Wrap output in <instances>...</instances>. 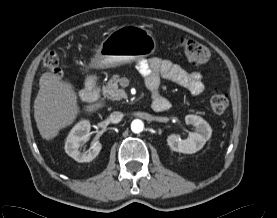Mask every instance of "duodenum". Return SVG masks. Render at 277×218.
Wrapping results in <instances>:
<instances>
[{
	"mask_svg": "<svg viewBox=\"0 0 277 218\" xmlns=\"http://www.w3.org/2000/svg\"><path fill=\"white\" fill-rule=\"evenodd\" d=\"M99 81L95 76H88L85 87L80 91L79 96L84 102H92L99 94ZM159 110L166 111L170 107V103L166 99H159Z\"/></svg>",
	"mask_w": 277,
	"mask_h": 218,
	"instance_id": "obj_1",
	"label": "duodenum"
}]
</instances>
